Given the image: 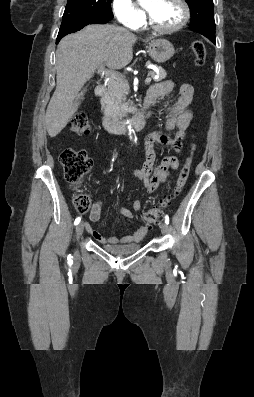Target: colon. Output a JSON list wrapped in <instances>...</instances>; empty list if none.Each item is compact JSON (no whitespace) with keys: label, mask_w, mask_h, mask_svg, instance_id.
Returning a JSON list of instances; mask_svg holds the SVG:
<instances>
[{"label":"colon","mask_w":254,"mask_h":397,"mask_svg":"<svg viewBox=\"0 0 254 397\" xmlns=\"http://www.w3.org/2000/svg\"><path fill=\"white\" fill-rule=\"evenodd\" d=\"M190 49L195 56V62L201 66L206 57V50L202 41H193ZM69 129L73 134L86 135L90 132L91 126L88 117L85 114H78L72 118L69 123ZM196 146L193 144L190 149V154L184 163L180 174L176 180L172 192L162 199L159 205L153 209L148 210L142 215V220L145 224L151 225L160 220L162 210L169 206L171 201L176 198L183 190L190 172V167L195 152ZM60 162L63 166L64 177L68 184L73 188H78L84 176L90 171L92 167V160L85 151L65 149L60 154ZM73 203L78 212H86L90 207V199L84 193H77L73 198Z\"/></svg>","instance_id":"colon-1"}]
</instances>
